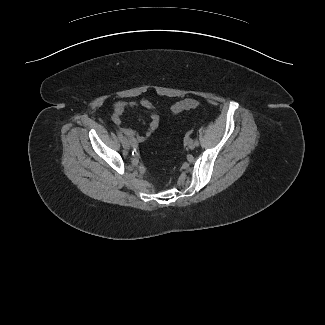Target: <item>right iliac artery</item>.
<instances>
[{"mask_svg": "<svg viewBox=\"0 0 325 325\" xmlns=\"http://www.w3.org/2000/svg\"><path fill=\"white\" fill-rule=\"evenodd\" d=\"M116 132H117L118 138H119L120 140H122L124 137H123V135L121 134V132H119L118 130H117Z\"/></svg>", "mask_w": 325, "mask_h": 325, "instance_id": "obj_1", "label": "right iliac artery"}]
</instances>
